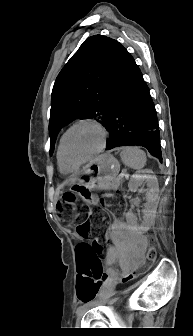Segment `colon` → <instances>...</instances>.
<instances>
[{"instance_id":"5ec220e1","label":"colon","mask_w":193,"mask_h":336,"mask_svg":"<svg viewBox=\"0 0 193 336\" xmlns=\"http://www.w3.org/2000/svg\"><path fill=\"white\" fill-rule=\"evenodd\" d=\"M77 204V198L74 193L66 192L58 201V209L61 212L73 210ZM63 224L67 227L75 226L78 235L88 239L97 234L92 245H81L77 248V266L79 271L87 272L93 284L100 285L101 278L105 276L104 268L101 261V255L107 245L106 235L102 232L105 225L109 223V218L103 209H99L85 219L81 218L80 212H72L63 218ZM156 256V250L153 245L149 246L146 260L152 261ZM138 274V269H134L130 275L131 278ZM80 299L84 302L91 298V295L85 288L79 289Z\"/></svg>"}]
</instances>
